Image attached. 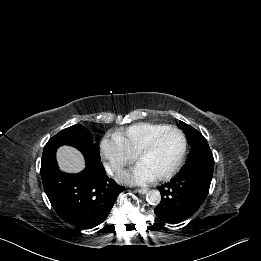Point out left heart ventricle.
<instances>
[{"label":"left heart ventricle","mask_w":261,"mask_h":261,"mask_svg":"<svg viewBox=\"0 0 261 261\" xmlns=\"http://www.w3.org/2000/svg\"><path fill=\"white\" fill-rule=\"evenodd\" d=\"M182 147L180 136L174 132L164 134L155 147L144 155L139 163L155 176L168 172L177 162Z\"/></svg>","instance_id":"1"}]
</instances>
